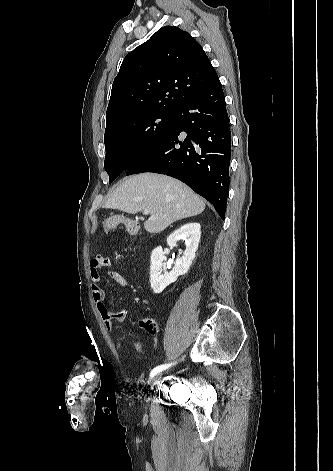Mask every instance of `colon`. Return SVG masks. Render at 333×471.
Returning <instances> with one entry per match:
<instances>
[{
    "label": "colon",
    "instance_id": "1",
    "mask_svg": "<svg viewBox=\"0 0 333 471\" xmlns=\"http://www.w3.org/2000/svg\"><path fill=\"white\" fill-rule=\"evenodd\" d=\"M120 225H124L126 230L132 235H136L138 232V223L136 221L120 215H113L106 218L103 222V230L104 232H109ZM141 326L150 333L157 331V324L152 319L142 320ZM132 345L139 352H143V346L140 342L134 341Z\"/></svg>",
    "mask_w": 333,
    "mask_h": 471
}]
</instances>
